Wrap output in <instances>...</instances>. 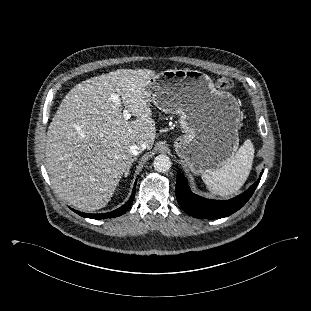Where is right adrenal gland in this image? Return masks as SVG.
<instances>
[{
	"label": "right adrenal gland",
	"mask_w": 311,
	"mask_h": 311,
	"mask_svg": "<svg viewBox=\"0 0 311 311\" xmlns=\"http://www.w3.org/2000/svg\"><path fill=\"white\" fill-rule=\"evenodd\" d=\"M136 159H137V158H133V159H132V162H131L130 165L127 167V169H126V171H125V173H124V176H125V177H126L127 175H129L130 168H131L133 162L136 161Z\"/></svg>",
	"instance_id": "2a0ac1e0"
}]
</instances>
